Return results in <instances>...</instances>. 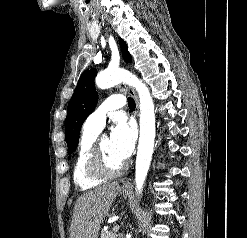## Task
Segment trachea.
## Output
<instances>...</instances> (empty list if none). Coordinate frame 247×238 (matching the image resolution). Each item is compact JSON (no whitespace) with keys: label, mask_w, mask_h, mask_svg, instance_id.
I'll list each match as a JSON object with an SVG mask.
<instances>
[{"label":"trachea","mask_w":247,"mask_h":238,"mask_svg":"<svg viewBox=\"0 0 247 238\" xmlns=\"http://www.w3.org/2000/svg\"><path fill=\"white\" fill-rule=\"evenodd\" d=\"M128 106H129L130 109H134L135 108V101L131 97L128 98Z\"/></svg>","instance_id":"trachea-1"}]
</instances>
